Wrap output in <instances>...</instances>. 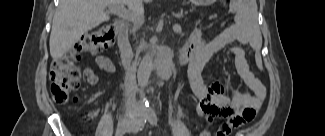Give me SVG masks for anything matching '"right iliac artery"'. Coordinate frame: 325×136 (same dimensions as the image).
I'll use <instances>...</instances> for the list:
<instances>
[{
	"instance_id": "82829eb1",
	"label": "right iliac artery",
	"mask_w": 325,
	"mask_h": 136,
	"mask_svg": "<svg viewBox=\"0 0 325 136\" xmlns=\"http://www.w3.org/2000/svg\"><path fill=\"white\" fill-rule=\"evenodd\" d=\"M146 120H147V116L142 115L140 117V119L138 120L135 129L138 131L141 127H143L145 125V123H146Z\"/></svg>"
}]
</instances>
